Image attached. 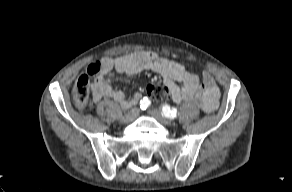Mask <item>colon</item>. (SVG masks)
I'll return each mask as SVG.
<instances>
[{
  "mask_svg": "<svg viewBox=\"0 0 292 192\" xmlns=\"http://www.w3.org/2000/svg\"><path fill=\"white\" fill-rule=\"evenodd\" d=\"M104 64L100 61L91 63L86 72L81 74L73 87V101L77 108L86 107L89 99L90 79L103 71ZM147 95L155 101H164L170 98L169 91L158 85H149L146 88Z\"/></svg>",
  "mask_w": 292,
  "mask_h": 192,
  "instance_id": "colon-1",
  "label": "colon"
}]
</instances>
